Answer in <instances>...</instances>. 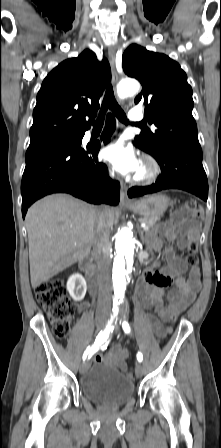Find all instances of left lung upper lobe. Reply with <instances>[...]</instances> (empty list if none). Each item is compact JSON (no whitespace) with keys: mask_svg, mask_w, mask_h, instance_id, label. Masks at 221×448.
Returning a JSON list of instances; mask_svg holds the SVG:
<instances>
[{"mask_svg":"<svg viewBox=\"0 0 221 448\" xmlns=\"http://www.w3.org/2000/svg\"><path fill=\"white\" fill-rule=\"evenodd\" d=\"M126 75L138 79L141 93L135 103L145 106V120L156 129L135 137L134 145L155 155L170 145H199L192 116V88L180 65L168 56L132 44L122 56Z\"/></svg>","mask_w":221,"mask_h":448,"instance_id":"1","label":"left lung upper lobe"}]
</instances>
